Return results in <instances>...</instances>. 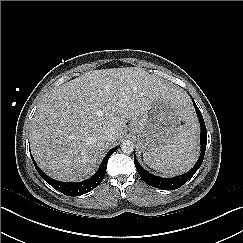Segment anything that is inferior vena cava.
Masks as SVG:
<instances>
[{"instance_id": "obj_1", "label": "inferior vena cava", "mask_w": 243, "mask_h": 243, "mask_svg": "<svg viewBox=\"0 0 243 243\" xmlns=\"http://www.w3.org/2000/svg\"><path fill=\"white\" fill-rule=\"evenodd\" d=\"M114 135H115L114 130L109 129L104 132L102 138H103V140L110 142V141L114 140Z\"/></svg>"}]
</instances>
